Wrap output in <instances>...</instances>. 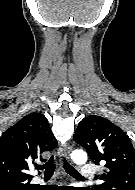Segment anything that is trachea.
<instances>
[{"label": "trachea", "instance_id": "3493384b", "mask_svg": "<svg viewBox=\"0 0 135 190\" xmlns=\"http://www.w3.org/2000/svg\"><path fill=\"white\" fill-rule=\"evenodd\" d=\"M63 165H64V169L66 170L67 173H69L71 176L78 178V179H82L83 177L79 174V172L77 170H75L65 159L63 160ZM55 160H54V156H52L50 158V160L45 163L42 166H38L37 169L39 170H45L44 172V176L45 177H51L55 171Z\"/></svg>", "mask_w": 135, "mask_h": 190}]
</instances>
